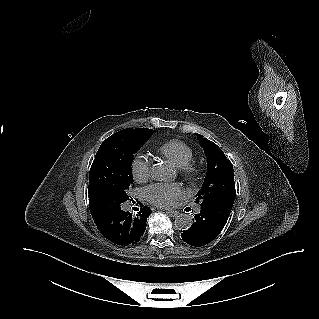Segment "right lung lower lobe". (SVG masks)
<instances>
[{
  "label": "right lung lower lobe",
  "mask_w": 319,
  "mask_h": 319,
  "mask_svg": "<svg viewBox=\"0 0 319 319\" xmlns=\"http://www.w3.org/2000/svg\"><path fill=\"white\" fill-rule=\"evenodd\" d=\"M123 202L97 198L89 199V206L93 220L105 238L120 246L134 245L140 241L146 229L151 210L138 202L141 209L136 215H132L121 209Z\"/></svg>",
  "instance_id": "98d812e1"
}]
</instances>
